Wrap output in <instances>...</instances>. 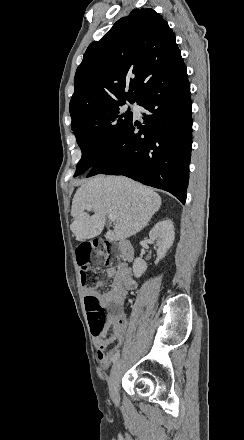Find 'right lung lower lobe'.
<instances>
[{"instance_id":"right-lung-lower-lobe-1","label":"right lung lower lobe","mask_w":244,"mask_h":440,"mask_svg":"<svg viewBox=\"0 0 244 440\" xmlns=\"http://www.w3.org/2000/svg\"><path fill=\"white\" fill-rule=\"evenodd\" d=\"M136 102L146 110L144 125L132 119L87 177L124 175L166 190L184 204L192 146V103L185 64L160 70L147 81Z\"/></svg>"}]
</instances>
